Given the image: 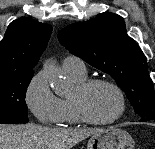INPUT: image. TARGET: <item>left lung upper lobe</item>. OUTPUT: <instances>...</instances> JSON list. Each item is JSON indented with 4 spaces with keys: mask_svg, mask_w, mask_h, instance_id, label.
<instances>
[{
    "mask_svg": "<svg viewBox=\"0 0 155 149\" xmlns=\"http://www.w3.org/2000/svg\"><path fill=\"white\" fill-rule=\"evenodd\" d=\"M58 39L72 54L111 75L141 118L155 117V91L147 58L127 35L121 16L106 12L73 23L58 33Z\"/></svg>",
    "mask_w": 155,
    "mask_h": 149,
    "instance_id": "left-lung-upper-lobe-1",
    "label": "left lung upper lobe"
}]
</instances>
